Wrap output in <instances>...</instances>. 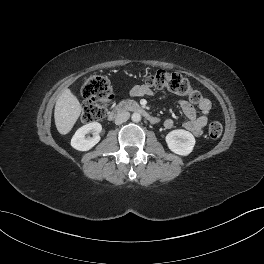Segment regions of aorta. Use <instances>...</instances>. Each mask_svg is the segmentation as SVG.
I'll list each match as a JSON object with an SVG mask.
<instances>
[{"label":"aorta","mask_w":264,"mask_h":264,"mask_svg":"<svg viewBox=\"0 0 264 264\" xmlns=\"http://www.w3.org/2000/svg\"><path fill=\"white\" fill-rule=\"evenodd\" d=\"M131 119H132L133 122L138 123V122L141 121V115L139 113H137V112H134L132 114V116H131Z\"/></svg>","instance_id":"762f6f07"}]
</instances>
